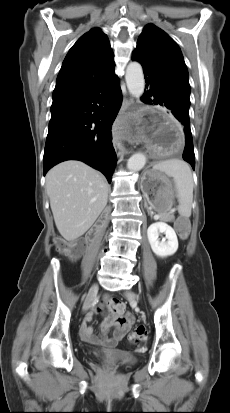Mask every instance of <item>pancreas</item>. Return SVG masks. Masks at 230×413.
I'll return each instance as SVG.
<instances>
[{
	"label": "pancreas",
	"instance_id": "1",
	"mask_svg": "<svg viewBox=\"0 0 230 413\" xmlns=\"http://www.w3.org/2000/svg\"><path fill=\"white\" fill-rule=\"evenodd\" d=\"M162 219L165 220V221H173L174 216L170 215V214H165L164 216H162Z\"/></svg>",
	"mask_w": 230,
	"mask_h": 413
}]
</instances>
